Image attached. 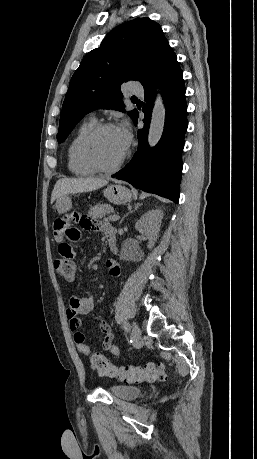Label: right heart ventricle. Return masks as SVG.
<instances>
[{
	"label": "right heart ventricle",
	"mask_w": 257,
	"mask_h": 459,
	"mask_svg": "<svg viewBox=\"0 0 257 459\" xmlns=\"http://www.w3.org/2000/svg\"><path fill=\"white\" fill-rule=\"evenodd\" d=\"M94 119H89L83 122L75 131L69 145L67 148V161H68V169L71 173L77 176H89L94 174L96 171L87 167L80 159L79 156V146L84 138V136L88 133V131L95 125Z\"/></svg>",
	"instance_id": "1"
}]
</instances>
